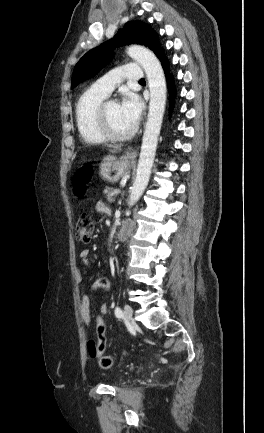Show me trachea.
<instances>
[{
    "label": "trachea",
    "instance_id": "trachea-1",
    "mask_svg": "<svg viewBox=\"0 0 264 433\" xmlns=\"http://www.w3.org/2000/svg\"><path fill=\"white\" fill-rule=\"evenodd\" d=\"M139 81H145V79L144 78H142L141 80H139Z\"/></svg>",
    "mask_w": 264,
    "mask_h": 433
}]
</instances>
